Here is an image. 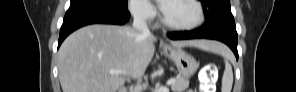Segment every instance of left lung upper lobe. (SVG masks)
Returning <instances> with one entry per match:
<instances>
[{"label":"left lung upper lobe","mask_w":296,"mask_h":92,"mask_svg":"<svg viewBox=\"0 0 296 92\" xmlns=\"http://www.w3.org/2000/svg\"><path fill=\"white\" fill-rule=\"evenodd\" d=\"M206 17L200 27L204 31H212L225 25L235 26L230 9V0H200Z\"/></svg>","instance_id":"obj_1"}]
</instances>
